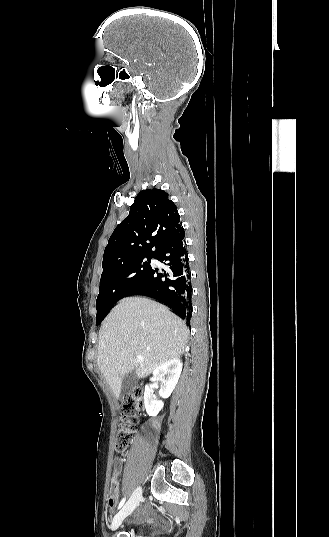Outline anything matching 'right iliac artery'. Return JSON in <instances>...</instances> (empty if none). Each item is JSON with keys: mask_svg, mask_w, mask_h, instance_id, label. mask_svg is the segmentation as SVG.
I'll return each mask as SVG.
<instances>
[{"mask_svg": "<svg viewBox=\"0 0 329 537\" xmlns=\"http://www.w3.org/2000/svg\"><path fill=\"white\" fill-rule=\"evenodd\" d=\"M125 501H126V497H124V498L120 501V503H119V505H118V508H117L118 510L124 505Z\"/></svg>", "mask_w": 329, "mask_h": 537, "instance_id": "82829eb1", "label": "right iliac artery"}]
</instances>
